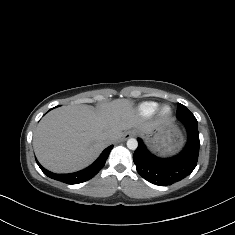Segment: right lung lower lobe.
<instances>
[{"label":"right lung lower lobe","mask_w":235,"mask_h":235,"mask_svg":"<svg viewBox=\"0 0 235 235\" xmlns=\"http://www.w3.org/2000/svg\"><path fill=\"white\" fill-rule=\"evenodd\" d=\"M113 146H109L106 148L102 154L99 156V158L89 167H87L84 170L70 173V174H56L48 171L44 167H42L39 162L36 160L37 164L41 168V170L50 178L54 180H58L67 184H78L85 181L90 180L93 178L105 165V162L109 156L110 151L112 150Z\"/></svg>","instance_id":"obj_1"}]
</instances>
